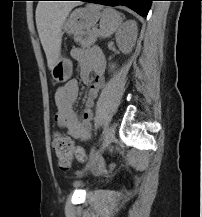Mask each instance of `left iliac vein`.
<instances>
[{"label":"left iliac vein","instance_id":"left-iliac-vein-1","mask_svg":"<svg viewBox=\"0 0 202 217\" xmlns=\"http://www.w3.org/2000/svg\"><path fill=\"white\" fill-rule=\"evenodd\" d=\"M114 135H115V126L114 125H110L107 128H105V135L103 138L101 148L97 152L91 154L89 162L85 166L82 173L93 168L98 163L103 151L112 143V141L114 139Z\"/></svg>","mask_w":202,"mask_h":217}]
</instances>
